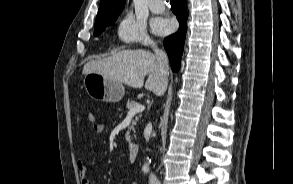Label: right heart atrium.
I'll return each instance as SVG.
<instances>
[{
    "instance_id": "right-heart-atrium-1",
    "label": "right heart atrium",
    "mask_w": 293,
    "mask_h": 184,
    "mask_svg": "<svg viewBox=\"0 0 293 184\" xmlns=\"http://www.w3.org/2000/svg\"><path fill=\"white\" fill-rule=\"evenodd\" d=\"M116 36L121 46H152L153 42L149 37L146 24L127 13L118 22L116 27Z\"/></svg>"
}]
</instances>
